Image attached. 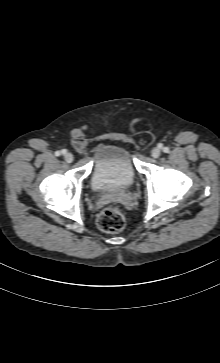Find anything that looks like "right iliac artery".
<instances>
[{
	"label": "right iliac artery",
	"instance_id": "right-iliac-artery-1",
	"mask_svg": "<svg viewBox=\"0 0 220 363\" xmlns=\"http://www.w3.org/2000/svg\"><path fill=\"white\" fill-rule=\"evenodd\" d=\"M66 153V150L65 149H63L62 151H56L55 152V155L56 156H60L61 154H65Z\"/></svg>",
	"mask_w": 220,
	"mask_h": 363
}]
</instances>
